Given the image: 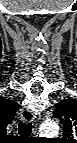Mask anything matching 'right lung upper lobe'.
<instances>
[{
  "mask_svg": "<svg viewBox=\"0 0 77 143\" xmlns=\"http://www.w3.org/2000/svg\"><path fill=\"white\" fill-rule=\"evenodd\" d=\"M21 108L16 102L0 97V127L5 130L6 126L13 120L16 111Z\"/></svg>",
  "mask_w": 77,
  "mask_h": 143,
  "instance_id": "right-lung-upper-lobe-1",
  "label": "right lung upper lobe"
}]
</instances>
